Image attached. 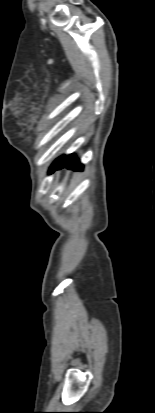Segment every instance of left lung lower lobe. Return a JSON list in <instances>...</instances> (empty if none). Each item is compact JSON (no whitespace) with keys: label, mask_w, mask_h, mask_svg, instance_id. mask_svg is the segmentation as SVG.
<instances>
[{"label":"left lung lower lobe","mask_w":155,"mask_h":413,"mask_svg":"<svg viewBox=\"0 0 155 413\" xmlns=\"http://www.w3.org/2000/svg\"><path fill=\"white\" fill-rule=\"evenodd\" d=\"M68 168L74 170H82L83 165L80 164L79 160L76 159L74 154L71 155H63L57 158L51 165L49 169V174L53 173L55 170Z\"/></svg>","instance_id":"0a47b994"}]
</instances>
